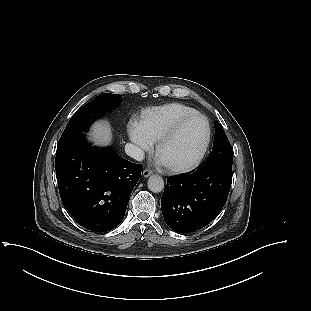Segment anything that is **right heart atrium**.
I'll list each match as a JSON object with an SVG mask.
<instances>
[{"instance_id":"right-heart-atrium-1","label":"right heart atrium","mask_w":311,"mask_h":311,"mask_svg":"<svg viewBox=\"0 0 311 311\" xmlns=\"http://www.w3.org/2000/svg\"><path fill=\"white\" fill-rule=\"evenodd\" d=\"M127 134L140 152H146L152 148L153 142L148 138L139 121L132 119L128 122Z\"/></svg>"}]
</instances>
